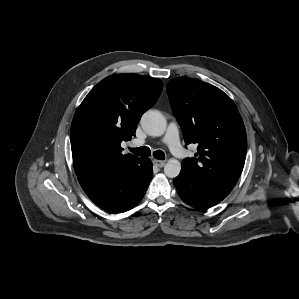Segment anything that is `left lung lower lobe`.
I'll use <instances>...</instances> for the list:
<instances>
[{"label": "left lung lower lobe", "mask_w": 299, "mask_h": 299, "mask_svg": "<svg viewBox=\"0 0 299 299\" xmlns=\"http://www.w3.org/2000/svg\"><path fill=\"white\" fill-rule=\"evenodd\" d=\"M180 198L188 205L204 209L221 202L231 190L189 175L181 169L173 180Z\"/></svg>", "instance_id": "left-lung-lower-lobe-1"}]
</instances>
